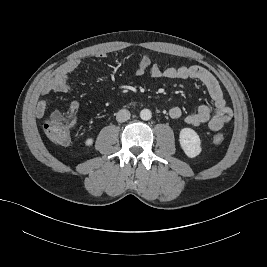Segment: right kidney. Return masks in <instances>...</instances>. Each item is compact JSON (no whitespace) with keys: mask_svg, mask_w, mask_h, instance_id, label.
Here are the masks:
<instances>
[{"mask_svg":"<svg viewBox=\"0 0 267 267\" xmlns=\"http://www.w3.org/2000/svg\"><path fill=\"white\" fill-rule=\"evenodd\" d=\"M92 144H93V139L92 138L86 139V141H85V145L86 146H91Z\"/></svg>","mask_w":267,"mask_h":267,"instance_id":"obj_1","label":"right kidney"}]
</instances>
